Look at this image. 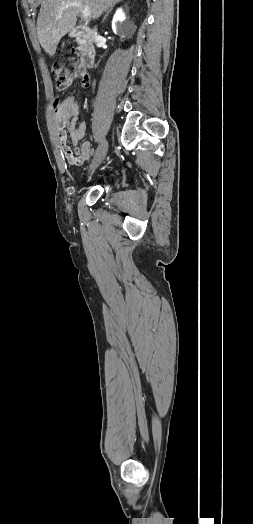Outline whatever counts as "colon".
<instances>
[{
    "label": "colon",
    "mask_w": 253,
    "mask_h": 524,
    "mask_svg": "<svg viewBox=\"0 0 253 524\" xmlns=\"http://www.w3.org/2000/svg\"><path fill=\"white\" fill-rule=\"evenodd\" d=\"M51 71L56 78L57 89L59 90L68 87L73 80H76L79 86L90 84V77L83 69V62L78 60L75 54L68 55L64 60L53 63Z\"/></svg>",
    "instance_id": "obj_1"
}]
</instances>
